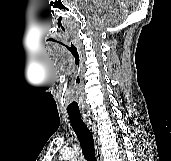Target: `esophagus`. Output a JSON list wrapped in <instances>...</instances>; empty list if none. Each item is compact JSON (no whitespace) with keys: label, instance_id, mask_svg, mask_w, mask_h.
I'll return each instance as SVG.
<instances>
[{"label":"esophagus","instance_id":"1","mask_svg":"<svg viewBox=\"0 0 171 161\" xmlns=\"http://www.w3.org/2000/svg\"><path fill=\"white\" fill-rule=\"evenodd\" d=\"M82 118L85 124L89 127L93 139H94V149H95V156L97 161H102V153H101V143L99 139L98 129L95 124L94 118L90 113L82 112Z\"/></svg>","mask_w":171,"mask_h":161}]
</instances>
